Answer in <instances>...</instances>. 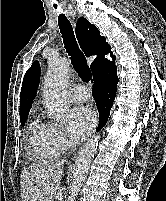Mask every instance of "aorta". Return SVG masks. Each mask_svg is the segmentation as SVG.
<instances>
[{"mask_svg": "<svg viewBox=\"0 0 166 201\" xmlns=\"http://www.w3.org/2000/svg\"><path fill=\"white\" fill-rule=\"evenodd\" d=\"M69 62L60 58L50 64L44 78V102L48 115L56 121H64L68 112L66 97ZM98 137L89 140L79 151L75 163L73 184L69 201H75L83 181H85L93 157L97 151Z\"/></svg>", "mask_w": 166, "mask_h": 201, "instance_id": "1", "label": "aorta"}]
</instances>
